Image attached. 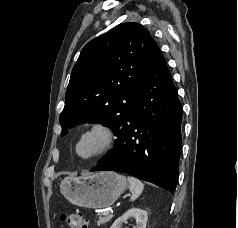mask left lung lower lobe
<instances>
[{"instance_id": "obj_1", "label": "left lung lower lobe", "mask_w": 238, "mask_h": 228, "mask_svg": "<svg viewBox=\"0 0 238 228\" xmlns=\"http://www.w3.org/2000/svg\"><path fill=\"white\" fill-rule=\"evenodd\" d=\"M181 122L182 106L159 51L122 122L114 150L91 171L127 173L174 194L182 145Z\"/></svg>"}]
</instances>
